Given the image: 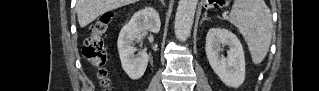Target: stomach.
Listing matches in <instances>:
<instances>
[{
    "label": "stomach",
    "instance_id": "1",
    "mask_svg": "<svg viewBox=\"0 0 319 91\" xmlns=\"http://www.w3.org/2000/svg\"><path fill=\"white\" fill-rule=\"evenodd\" d=\"M210 3L214 2V1H209ZM226 1L225 0H217L216 2H214L213 4L216 5V7H222L225 6ZM212 4V5H213Z\"/></svg>",
    "mask_w": 319,
    "mask_h": 91
}]
</instances>
